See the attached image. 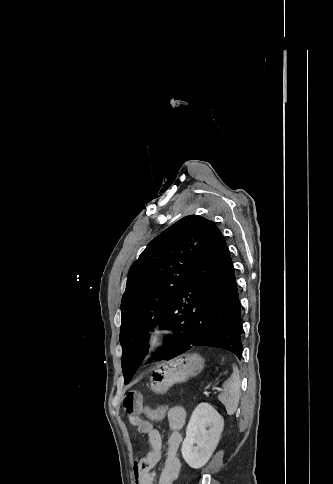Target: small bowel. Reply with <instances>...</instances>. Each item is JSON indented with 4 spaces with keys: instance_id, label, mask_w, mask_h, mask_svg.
<instances>
[{
    "instance_id": "small-bowel-1",
    "label": "small bowel",
    "mask_w": 333,
    "mask_h": 484,
    "mask_svg": "<svg viewBox=\"0 0 333 484\" xmlns=\"http://www.w3.org/2000/svg\"><path fill=\"white\" fill-rule=\"evenodd\" d=\"M123 408L125 413L129 416L130 422L135 425L142 434L146 435L150 445V451L148 454L138 460L135 464L136 483L156 484L157 476L154 472V468L161 459L162 436L150 421L142 418L143 416L147 417L146 406L144 405L143 397L139 392H128L123 400ZM165 415L171 433L167 439V457L164 467L158 477L157 484H173L181 469L178 451L183 440L180 430L184 427L186 422V410L182 406H174L171 407Z\"/></svg>"
}]
</instances>
